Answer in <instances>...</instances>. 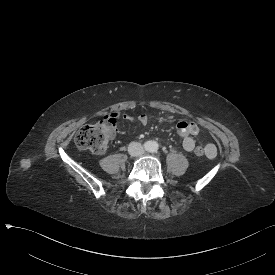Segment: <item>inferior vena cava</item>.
<instances>
[{
    "instance_id": "602c4592",
    "label": "inferior vena cava",
    "mask_w": 275,
    "mask_h": 275,
    "mask_svg": "<svg viewBox=\"0 0 275 275\" xmlns=\"http://www.w3.org/2000/svg\"><path fill=\"white\" fill-rule=\"evenodd\" d=\"M128 151L129 154L134 157L142 156L145 152L143 146L138 142L130 143Z\"/></svg>"
}]
</instances>
